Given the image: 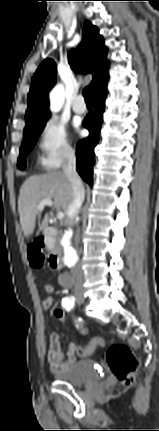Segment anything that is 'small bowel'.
<instances>
[{
  "mask_svg": "<svg viewBox=\"0 0 159 431\" xmlns=\"http://www.w3.org/2000/svg\"><path fill=\"white\" fill-rule=\"evenodd\" d=\"M44 289L46 293L50 294L54 291V286L50 283H46L44 285ZM48 296L50 295H47L42 301V305L45 309H48L46 308V301ZM74 311L79 313V311L77 310H74ZM77 348H78L77 344L71 343L69 344L66 352L64 353L62 351L61 340L59 335L57 333H52L50 335L49 349L47 352V359H48L50 368L53 371H60L71 366L76 361V358L78 357Z\"/></svg>",
  "mask_w": 159,
  "mask_h": 431,
  "instance_id": "small-bowel-1",
  "label": "small bowel"
}]
</instances>
